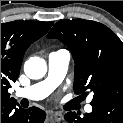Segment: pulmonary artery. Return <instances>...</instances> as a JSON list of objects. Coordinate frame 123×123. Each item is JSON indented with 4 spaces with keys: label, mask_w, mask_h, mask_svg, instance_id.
Wrapping results in <instances>:
<instances>
[{
    "label": "pulmonary artery",
    "mask_w": 123,
    "mask_h": 123,
    "mask_svg": "<svg viewBox=\"0 0 123 123\" xmlns=\"http://www.w3.org/2000/svg\"><path fill=\"white\" fill-rule=\"evenodd\" d=\"M70 61V53L67 50H58L50 53L48 58L47 77L31 85L16 91V96L29 100H41L47 97L64 79ZM87 113L92 112L90 105L85 106Z\"/></svg>",
    "instance_id": "1"
}]
</instances>
